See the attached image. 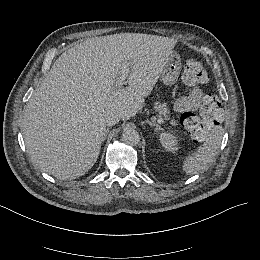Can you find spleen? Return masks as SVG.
Masks as SVG:
<instances>
[{
  "instance_id": "3e777b00",
  "label": "spleen",
  "mask_w": 260,
  "mask_h": 260,
  "mask_svg": "<svg viewBox=\"0 0 260 260\" xmlns=\"http://www.w3.org/2000/svg\"><path fill=\"white\" fill-rule=\"evenodd\" d=\"M223 135V127L221 125L214 126L210 130L205 142L198 147L192 156L186 158L183 170L187 174H196L199 171L207 170L209 163L212 162L220 147Z\"/></svg>"
}]
</instances>
